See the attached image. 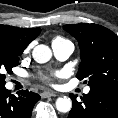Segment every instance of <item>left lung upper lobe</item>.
<instances>
[{
    "instance_id": "obj_1",
    "label": "left lung upper lobe",
    "mask_w": 118,
    "mask_h": 118,
    "mask_svg": "<svg viewBox=\"0 0 118 118\" xmlns=\"http://www.w3.org/2000/svg\"><path fill=\"white\" fill-rule=\"evenodd\" d=\"M75 37L81 50V63L76 77L85 79L93 90L118 92V36L97 24L64 25Z\"/></svg>"
}]
</instances>
